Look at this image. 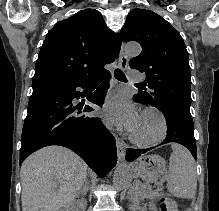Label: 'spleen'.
<instances>
[{"label": "spleen", "mask_w": 219, "mask_h": 211, "mask_svg": "<svg viewBox=\"0 0 219 211\" xmlns=\"http://www.w3.org/2000/svg\"><path fill=\"white\" fill-rule=\"evenodd\" d=\"M169 161L168 191L175 197H195L197 189L196 165L188 149L173 143Z\"/></svg>", "instance_id": "1"}]
</instances>
